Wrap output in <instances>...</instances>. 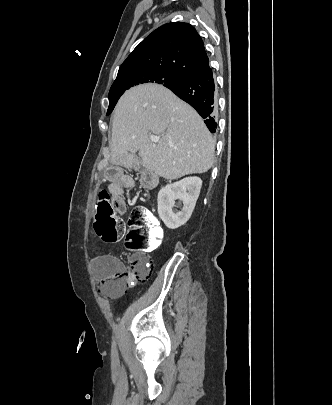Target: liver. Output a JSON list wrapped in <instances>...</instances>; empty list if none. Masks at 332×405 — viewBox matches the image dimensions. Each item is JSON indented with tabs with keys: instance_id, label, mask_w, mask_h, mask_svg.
Returning <instances> with one entry per match:
<instances>
[{
	"instance_id": "1",
	"label": "liver",
	"mask_w": 332,
	"mask_h": 405,
	"mask_svg": "<svg viewBox=\"0 0 332 405\" xmlns=\"http://www.w3.org/2000/svg\"><path fill=\"white\" fill-rule=\"evenodd\" d=\"M151 135L159 141L153 143ZM137 150L151 174L175 180L207 172L215 142L196 110L169 89L150 83L127 90L114 109L112 163L134 166Z\"/></svg>"
}]
</instances>
